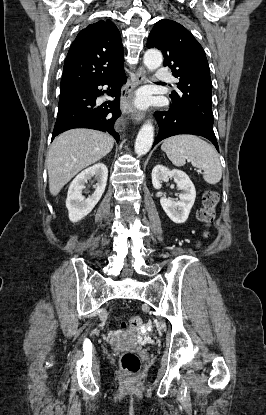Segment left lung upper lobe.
I'll return each mask as SVG.
<instances>
[{"label":"left lung upper lobe","instance_id":"obj_1","mask_svg":"<svg viewBox=\"0 0 266 415\" xmlns=\"http://www.w3.org/2000/svg\"><path fill=\"white\" fill-rule=\"evenodd\" d=\"M164 55V66L179 78L178 91L171 93L173 106L182 114L213 130L212 83L210 68L202 46L181 24L164 19L158 21L147 41Z\"/></svg>","mask_w":266,"mask_h":415}]
</instances>
